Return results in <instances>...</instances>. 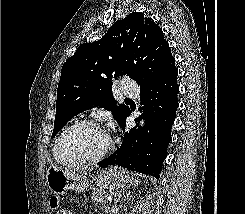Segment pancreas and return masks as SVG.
Instances as JSON below:
<instances>
[{"instance_id": "1", "label": "pancreas", "mask_w": 245, "mask_h": 214, "mask_svg": "<svg viewBox=\"0 0 245 214\" xmlns=\"http://www.w3.org/2000/svg\"><path fill=\"white\" fill-rule=\"evenodd\" d=\"M107 193L104 189H95L91 199L96 204H106Z\"/></svg>"}]
</instances>
